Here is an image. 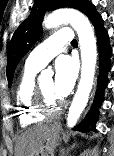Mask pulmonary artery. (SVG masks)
<instances>
[{
  "mask_svg": "<svg viewBox=\"0 0 114 156\" xmlns=\"http://www.w3.org/2000/svg\"><path fill=\"white\" fill-rule=\"evenodd\" d=\"M73 39V32L63 28L38 45L27 57L26 63L43 68L51 59L64 50V45Z\"/></svg>",
  "mask_w": 114,
  "mask_h": 156,
  "instance_id": "pulmonary-artery-1",
  "label": "pulmonary artery"
}]
</instances>
